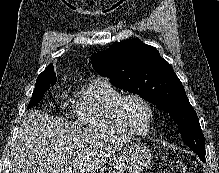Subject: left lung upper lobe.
<instances>
[{"mask_svg": "<svg viewBox=\"0 0 219 173\" xmlns=\"http://www.w3.org/2000/svg\"><path fill=\"white\" fill-rule=\"evenodd\" d=\"M91 60L96 72L110 78L116 87L138 94L169 113L188 147L205 154L197 114L172 66L156 48L130 39L93 54Z\"/></svg>", "mask_w": 219, "mask_h": 173, "instance_id": "obj_1", "label": "left lung upper lobe"}]
</instances>
